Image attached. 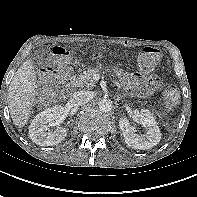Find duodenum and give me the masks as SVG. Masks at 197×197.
Masks as SVG:
<instances>
[{
  "mask_svg": "<svg viewBox=\"0 0 197 197\" xmlns=\"http://www.w3.org/2000/svg\"><path fill=\"white\" fill-rule=\"evenodd\" d=\"M67 92L69 93V92H71V90H72V85H69L68 87H67Z\"/></svg>",
  "mask_w": 197,
  "mask_h": 197,
  "instance_id": "1",
  "label": "duodenum"
}]
</instances>
